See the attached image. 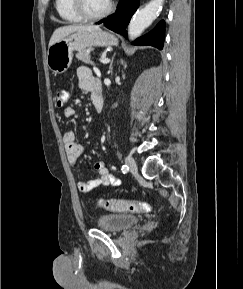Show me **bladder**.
I'll list each match as a JSON object with an SVG mask.
<instances>
[{"instance_id":"obj_1","label":"bladder","mask_w":243,"mask_h":289,"mask_svg":"<svg viewBox=\"0 0 243 289\" xmlns=\"http://www.w3.org/2000/svg\"><path fill=\"white\" fill-rule=\"evenodd\" d=\"M139 218L135 215L124 213H109L98 217L97 227L112 232H122L135 226Z\"/></svg>"}]
</instances>
